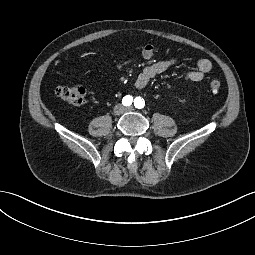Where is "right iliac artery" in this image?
Returning a JSON list of instances; mask_svg holds the SVG:
<instances>
[{
  "mask_svg": "<svg viewBox=\"0 0 255 255\" xmlns=\"http://www.w3.org/2000/svg\"><path fill=\"white\" fill-rule=\"evenodd\" d=\"M132 102H133V98L129 95L124 97L123 100H122V104L124 106H130L132 104Z\"/></svg>",
  "mask_w": 255,
  "mask_h": 255,
  "instance_id": "1",
  "label": "right iliac artery"
}]
</instances>
